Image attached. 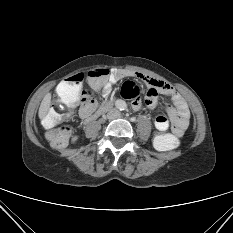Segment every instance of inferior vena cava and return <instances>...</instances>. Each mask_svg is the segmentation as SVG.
Listing matches in <instances>:
<instances>
[{"instance_id":"602c4592","label":"inferior vena cava","mask_w":233,"mask_h":233,"mask_svg":"<svg viewBox=\"0 0 233 233\" xmlns=\"http://www.w3.org/2000/svg\"><path fill=\"white\" fill-rule=\"evenodd\" d=\"M119 116V112L117 110H112L110 113H109V116L108 118L109 119H114V118H117Z\"/></svg>"}]
</instances>
